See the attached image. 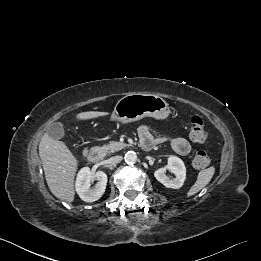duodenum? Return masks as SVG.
<instances>
[{
    "label": "duodenum",
    "instance_id": "410a0bca",
    "mask_svg": "<svg viewBox=\"0 0 261 261\" xmlns=\"http://www.w3.org/2000/svg\"><path fill=\"white\" fill-rule=\"evenodd\" d=\"M142 146L149 149L151 146L148 143H142ZM84 155L91 163H99L103 158V152L98 148H91L84 152Z\"/></svg>",
    "mask_w": 261,
    "mask_h": 261
}]
</instances>
